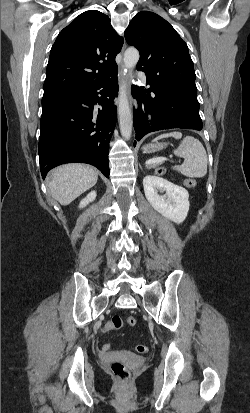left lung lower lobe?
<instances>
[{
    "instance_id": "1",
    "label": "left lung lower lobe",
    "mask_w": 250,
    "mask_h": 413,
    "mask_svg": "<svg viewBox=\"0 0 250 413\" xmlns=\"http://www.w3.org/2000/svg\"><path fill=\"white\" fill-rule=\"evenodd\" d=\"M146 84L150 86L148 89L132 86V96L138 105L133 111L138 141L150 132L163 129H202L195 83L180 85L174 80L154 83L147 77Z\"/></svg>"
}]
</instances>
